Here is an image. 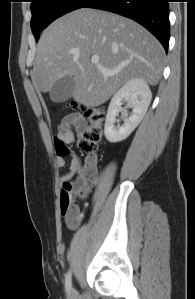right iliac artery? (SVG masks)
Returning a JSON list of instances; mask_svg holds the SVG:
<instances>
[{
  "instance_id": "right-iliac-artery-1",
  "label": "right iliac artery",
  "mask_w": 195,
  "mask_h": 299,
  "mask_svg": "<svg viewBox=\"0 0 195 299\" xmlns=\"http://www.w3.org/2000/svg\"><path fill=\"white\" fill-rule=\"evenodd\" d=\"M71 286H72V282H71V273L68 272L66 274V278H65V289L67 293H70L71 291Z\"/></svg>"
}]
</instances>
